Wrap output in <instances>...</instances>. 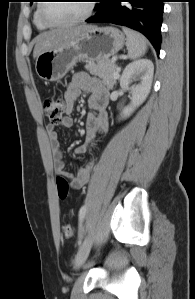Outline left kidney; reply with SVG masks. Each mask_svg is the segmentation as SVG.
I'll return each instance as SVG.
<instances>
[{
    "mask_svg": "<svg viewBox=\"0 0 195 299\" xmlns=\"http://www.w3.org/2000/svg\"><path fill=\"white\" fill-rule=\"evenodd\" d=\"M154 65L149 59H140L130 63L120 78V86L132 96L129 105L123 108L121 118L129 117L147 98L152 84ZM139 83L131 86L132 82Z\"/></svg>",
    "mask_w": 195,
    "mask_h": 299,
    "instance_id": "obj_1",
    "label": "left kidney"
}]
</instances>
